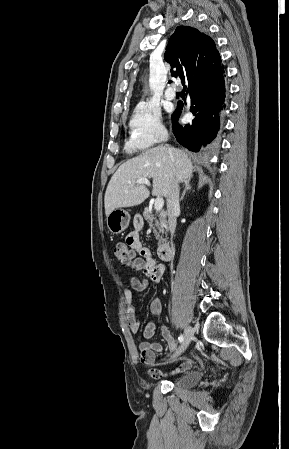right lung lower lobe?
<instances>
[{"label": "right lung lower lobe", "mask_w": 289, "mask_h": 449, "mask_svg": "<svg viewBox=\"0 0 289 449\" xmlns=\"http://www.w3.org/2000/svg\"><path fill=\"white\" fill-rule=\"evenodd\" d=\"M223 68L219 65L205 77L187 84L190 111L195 116L189 125L182 127L178 124L182 102H178L172 115L173 133L177 141L190 151L198 152L206 145L212 147L218 143L217 134L226 107Z\"/></svg>", "instance_id": "right-lung-lower-lobe-1"}]
</instances>
